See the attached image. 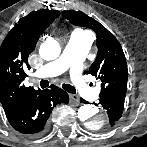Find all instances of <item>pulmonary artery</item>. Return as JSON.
Returning <instances> with one entry per match:
<instances>
[{
	"label": "pulmonary artery",
	"instance_id": "pulmonary-artery-1",
	"mask_svg": "<svg viewBox=\"0 0 147 147\" xmlns=\"http://www.w3.org/2000/svg\"><path fill=\"white\" fill-rule=\"evenodd\" d=\"M90 38L83 31L74 32L67 42L61 57L40 70L42 77L57 76L70 70L78 93L88 100L96 98V90L91 88L81 76V65L90 49Z\"/></svg>",
	"mask_w": 147,
	"mask_h": 147
}]
</instances>
